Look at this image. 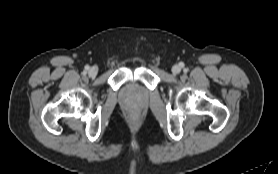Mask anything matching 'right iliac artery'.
I'll list each match as a JSON object with an SVG mask.
<instances>
[{
  "label": "right iliac artery",
  "mask_w": 278,
  "mask_h": 174,
  "mask_svg": "<svg viewBox=\"0 0 278 174\" xmlns=\"http://www.w3.org/2000/svg\"><path fill=\"white\" fill-rule=\"evenodd\" d=\"M89 69V66L87 65V66H85V70H88Z\"/></svg>",
  "instance_id": "right-iliac-artery-1"
}]
</instances>
